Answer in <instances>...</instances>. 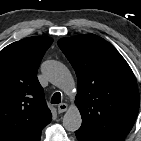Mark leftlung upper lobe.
Listing matches in <instances>:
<instances>
[{
  "instance_id": "left-lung-upper-lobe-1",
  "label": "left lung upper lobe",
  "mask_w": 141,
  "mask_h": 141,
  "mask_svg": "<svg viewBox=\"0 0 141 141\" xmlns=\"http://www.w3.org/2000/svg\"><path fill=\"white\" fill-rule=\"evenodd\" d=\"M58 45L77 75L80 130L103 141H122L139 110L131 68L109 42L94 34L62 38Z\"/></svg>"
}]
</instances>
